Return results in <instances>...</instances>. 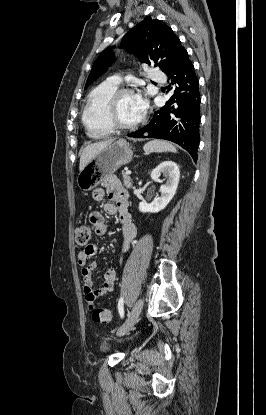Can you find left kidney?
Listing matches in <instances>:
<instances>
[{
    "mask_svg": "<svg viewBox=\"0 0 266 415\" xmlns=\"http://www.w3.org/2000/svg\"><path fill=\"white\" fill-rule=\"evenodd\" d=\"M166 177V184L160 187V196L156 197L150 204L146 202L139 203V210L143 213H158L163 210L174 197L180 178L178 165L173 161H164L160 163L152 172L153 181H158L160 175Z\"/></svg>",
    "mask_w": 266,
    "mask_h": 415,
    "instance_id": "5707ae66",
    "label": "left kidney"
}]
</instances>
